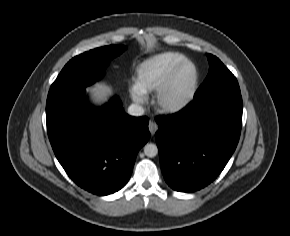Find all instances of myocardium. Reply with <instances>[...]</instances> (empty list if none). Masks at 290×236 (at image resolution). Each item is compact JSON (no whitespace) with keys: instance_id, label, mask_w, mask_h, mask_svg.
<instances>
[{"instance_id":"f54148a6","label":"myocardium","mask_w":290,"mask_h":236,"mask_svg":"<svg viewBox=\"0 0 290 236\" xmlns=\"http://www.w3.org/2000/svg\"><path fill=\"white\" fill-rule=\"evenodd\" d=\"M187 66H191L193 68V80L188 92L175 101H169L167 99V96L171 88L173 87L176 78ZM199 79V70L197 65L193 61L186 59L178 64L174 68L166 82L161 87H159L154 94L153 103L156 109L163 114H174L186 108L194 99L198 91Z\"/></svg>"}]
</instances>
